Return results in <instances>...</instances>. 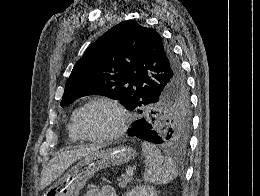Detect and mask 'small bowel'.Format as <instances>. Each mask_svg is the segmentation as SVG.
Here are the masks:
<instances>
[{"label": "small bowel", "instance_id": "obj_1", "mask_svg": "<svg viewBox=\"0 0 260 196\" xmlns=\"http://www.w3.org/2000/svg\"><path fill=\"white\" fill-rule=\"evenodd\" d=\"M85 196H116L114 189L110 186L89 189Z\"/></svg>", "mask_w": 260, "mask_h": 196}]
</instances>
